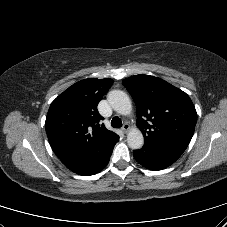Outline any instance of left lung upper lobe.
I'll use <instances>...</instances> for the list:
<instances>
[{
    "mask_svg": "<svg viewBox=\"0 0 227 227\" xmlns=\"http://www.w3.org/2000/svg\"><path fill=\"white\" fill-rule=\"evenodd\" d=\"M122 83L135 101L136 124L144 135V145L183 153L197 122L190 97L154 76L140 74L124 79Z\"/></svg>",
    "mask_w": 227,
    "mask_h": 227,
    "instance_id": "left-lung-upper-lobe-1",
    "label": "left lung upper lobe"
}]
</instances>
